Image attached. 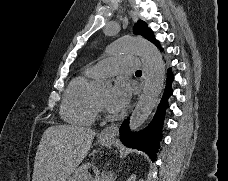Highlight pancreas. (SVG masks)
<instances>
[{"mask_svg": "<svg viewBox=\"0 0 228 181\" xmlns=\"http://www.w3.org/2000/svg\"><path fill=\"white\" fill-rule=\"evenodd\" d=\"M87 169L88 167H85V165H81L79 169H76V171L72 173L70 177V181H89V179H92Z\"/></svg>", "mask_w": 228, "mask_h": 181, "instance_id": "1", "label": "pancreas"}]
</instances>
